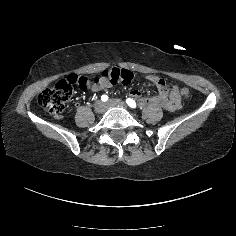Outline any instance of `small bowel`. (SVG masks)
Masks as SVG:
<instances>
[{
  "mask_svg": "<svg viewBox=\"0 0 236 236\" xmlns=\"http://www.w3.org/2000/svg\"><path fill=\"white\" fill-rule=\"evenodd\" d=\"M148 79H149L152 83L158 85L160 88H164V87H165V82H164V80L161 79V78H159V77H157V76H155V75H150V76L148 77ZM160 80H161V82L159 83ZM110 85H111V84H110L109 82H107V81H102L101 83H99V84L93 86V87H92V90H93V91H99V90H101V89H103V88L109 87ZM131 95L137 97V96L139 95V92H138L137 90H134V91L131 92Z\"/></svg>",
  "mask_w": 236,
  "mask_h": 236,
  "instance_id": "1",
  "label": "small bowel"
}]
</instances>
